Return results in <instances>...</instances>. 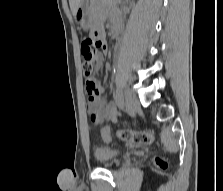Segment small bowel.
<instances>
[{
	"label": "small bowel",
	"instance_id": "1",
	"mask_svg": "<svg viewBox=\"0 0 223 191\" xmlns=\"http://www.w3.org/2000/svg\"><path fill=\"white\" fill-rule=\"evenodd\" d=\"M121 30V24L117 22L115 26V30ZM93 35L101 42V46L104 44V30L101 25H98L93 30ZM103 64V60L101 57L97 59L96 67L100 68ZM91 81L95 84V88L92 89L88 85V81L86 82V93L88 96L87 101V111L91 116L92 121L99 125L104 121H112L116 123L119 119V112L117 110L116 105L113 102L105 101L101 94L103 92L102 84L95 80L91 79Z\"/></svg>",
	"mask_w": 223,
	"mask_h": 191
}]
</instances>
